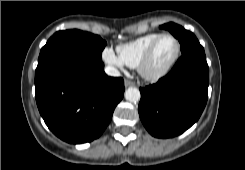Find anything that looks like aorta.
Here are the masks:
<instances>
[{"label":"aorta","mask_w":245,"mask_h":170,"mask_svg":"<svg viewBox=\"0 0 245 170\" xmlns=\"http://www.w3.org/2000/svg\"><path fill=\"white\" fill-rule=\"evenodd\" d=\"M125 99L129 102L136 103L140 100V91L135 87H129L125 91Z\"/></svg>","instance_id":"aorta-1"}]
</instances>
